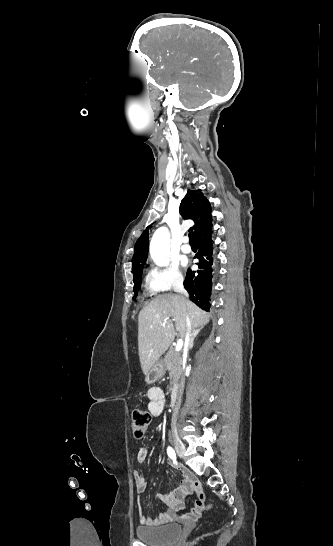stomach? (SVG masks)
<instances>
[{
    "label": "stomach",
    "instance_id": "1",
    "mask_svg": "<svg viewBox=\"0 0 333 546\" xmlns=\"http://www.w3.org/2000/svg\"><path fill=\"white\" fill-rule=\"evenodd\" d=\"M165 374V368L162 360H158L149 370L146 375L147 383H154L157 380L161 379Z\"/></svg>",
    "mask_w": 333,
    "mask_h": 546
}]
</instances>
